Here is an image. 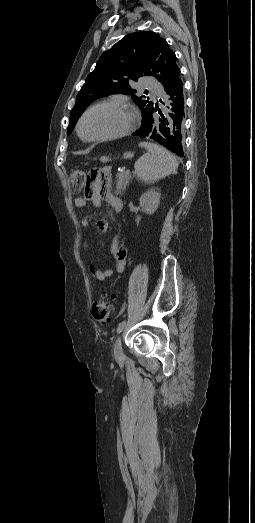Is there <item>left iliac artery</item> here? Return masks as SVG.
Here are the masks:
<instances>
[{
  "instance_id": "1",
  "label": "left iliac artery",
  "mask_w": 255,
  "mask_h": 523,
  "mask_svg": "<svg viewBox=\"0 0 255 523\" xmlns=\"http://www.w3.org/2000/svg\"><path fill=\"white\" fill-rule=\"evenodd\" d=\"M125 324H126V321H122L119 323V325L117 327V333H120L124 329Z\"/></svg>"
}]
</instances>
